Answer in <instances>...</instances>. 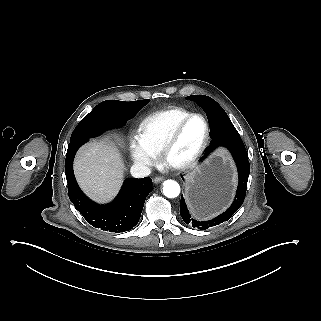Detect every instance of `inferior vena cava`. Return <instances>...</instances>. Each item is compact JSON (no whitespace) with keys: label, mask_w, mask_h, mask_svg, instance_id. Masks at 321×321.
Instances as JSON below:
<instances>
[{"label":"inferior vena cava","mask_w":321,"mask_h":321,"mask_svg":"<svg viewBox=\"0 0 321 321\" xmlns=\"http://www.w3.org/2000/svg\"><path fill=\"white\" fill-rule=\"evenodd\" d=\"M130 173L133 177L143 178V177L150 175L151 170L149 167H147L143 164L137 163V164L132 165V167L130 169Z\"/></svg>","instance_id":"1"}]
</instances>
